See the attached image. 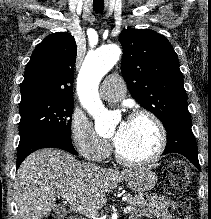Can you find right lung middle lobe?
Segmentation results:
<instances>
[{
  "instance_id": "1",
  "label": "right lung middle lobe",
  "mask_w": 211,
  "mask_h": 219,
  "mask_svg": "<svg viewBox=\"0 0 211 219\" xmlns=\"http://www.w3.org/2000/svg\"><path fill=\"white\" fill-rule=\"evenodd\" d=\"M73 100L32 98L20 102V142L41 134L71 140Z\"/></svg>"
}]
</instances>
